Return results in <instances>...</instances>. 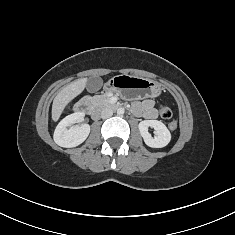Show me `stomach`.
Returning a JSON list of instances; mask_svg holds the SVG:
<instances>
[{"mask_svg":"<svg viewBox=\"0 0 235 235\" xmlns=\"http://www.w3.org/2000/svg\"><path fill=\"white\" fill-rule=\"evenodd\" d=\"M105 89L117 93L126 100L155 98L162 91L158 82L128 74L114 76L105 85Z\"/></svg>","mask_w":235,"mask_h":235,"instance_id":"stomach-1","label":"stomach"}]
</instances>
